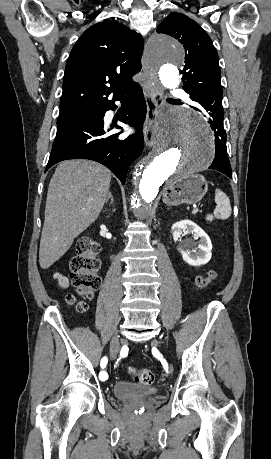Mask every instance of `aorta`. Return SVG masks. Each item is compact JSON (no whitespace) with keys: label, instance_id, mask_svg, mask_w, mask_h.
Listing matches in <instances>:
<instances>
[{"label":"aorta","instance_id":"762f6f07","mask_svg":"<svg viewBox=\"0 0 271 459\" xmlns=\"http://www.w3.org/2000/svg\"><path fill=\"white\" fill-rule=\"evenodd\" d=\"M152 70L165 87L180 84L177 66L184 60L182 45L168 36L155 37L147 49ZM214 158L212 134L199 114L184 108L164 105L151 153L134 170L131 205L139 221L152 219L159 187L205 170Z\"/></svg>","mask_w":271,"mask_h":459}]
</instances>
